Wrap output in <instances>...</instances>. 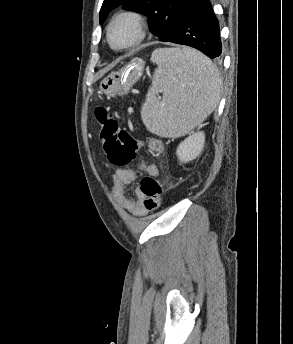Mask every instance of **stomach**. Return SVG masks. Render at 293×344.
<instances>
[{
    "label": "stomach",
    "instance_id": "obj_1",
    "mask_svg": "<svg viewBox=\"0 0 293 344\" xmlns=\"http://www.w3.org/2000/svg\"><path fill=\"white\" fill-rule=\"evenodd\" d=\"M144 62L134 59L118 72H112L100 82V90L108 97L126 95L142 76Z\"/></svg>",
    "mask_w": 293,
    "mask_h": 344
}]
</instances>
